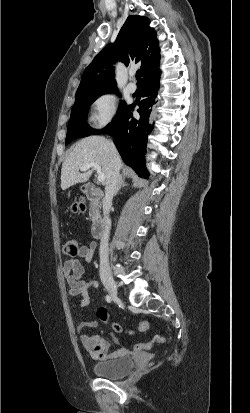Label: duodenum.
I'll list each match as a JSON object with an SVG mask.
<instances>
[{
	"label": "duodenum",
	"mask_w": 250,
	"mask_h": 413,
	"mask_svg": "<svg viewBox=\"0 0 250 413\" xmlns=\"http://www.w3.org/2000/svg\"><path fill=\"white\" fill-rule=\"evenodd\" d=\"M84 193L88 198L91 199H100L103 196V193L100 189L95 187L92 184H88L85 189ZM104 220L100 215H96L93 218L92 225H91V234L94 238H99L102 236L104 232Z\"/></svg>",
	"instance_id": "obj_1"
}]
</instances>
